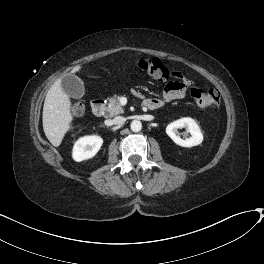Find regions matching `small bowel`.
Returning a JSON list of instances; mask_svg holds the SVG:
<instances>
[{
	"mask_svg": "<svg viewBox=\"0 0 264 264\" xmlns=\"http://www.w3.org/2000/svg\"><path fill=\"white\" fill-rule=\"evenodd\" d=\"M177 73H175L176 75ZM134 94L138 98H143V95L139 91H135ZM185 96V89L177 81H171L167 83L164 88L162 98H147L142 101V106L148 110H156L161 108L165 102L171 100L182 99Z\"/></svg>",
	"mask_w": 264,
	"mask_h": 264,
	"instance_id": "1",
	"label": "small bowel"
}]
</instances>
